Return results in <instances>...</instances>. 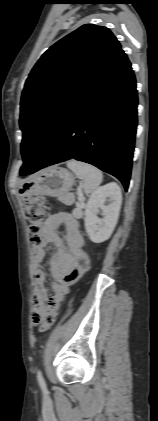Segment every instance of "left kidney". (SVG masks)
<instances>
[{"label":"left kidney","instance_id":"left-kidney-1","mask_svg":"<svg viewBox=\"0 0 158 421\" xmlns=\"http://www.w3.org/2000/svg\"><path fill=\"white\" fill-rule=\"evenodd\" d=\"M121 203V189L114 182L98 188L90 196L85 208L84 221L92 242L102 243L110 238L119 217ZM100 209L104 212L102 219L97 216Z\"/></svg>","mask_w":158,"mask_h":421}]
</instances>
